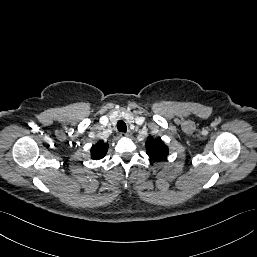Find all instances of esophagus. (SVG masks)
I'll return each instance as SVG.
<instances>
[{"mask_svg": "<svg viewBox=\"0 0 257 257\" xmlns=\"http://www.w3.org/2000/svg\"><path fill=\"white\" fill-rule=\"evenodd\" d=\"M131 135H132V134H131L130 131H129V132H126V133H123V132L120 133V136H121V137H131Z\"/></svg>", "mask_w": 257, "mask_h": 257, "instance_id": "obj_1", "label": "esophagus"}]
</instances>
